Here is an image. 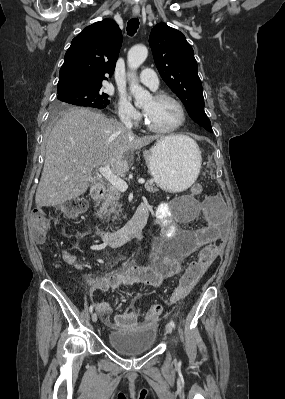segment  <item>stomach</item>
<instances>
[{
    "label": "stomach",
    "mask_w": 285,
    "mask_h": 399,
    "mask_svg": "<svg viewBox=\"0 0 285 399\" xmlns=\"http://www.w3.org/2000/svg\"><path fill=\"white\" fill-rule=\"evenodd\" d=\"M144 157L156 184L172 193L184 191L195 182L202 162L195 141L181 135L159 140Z\"/></svg>",
    "instance_id": "stomach-1"
}]
</instances>
